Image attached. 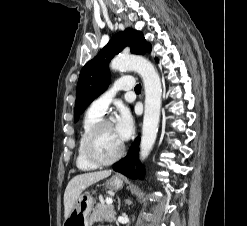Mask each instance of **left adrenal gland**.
Wrapping results in <instances>:
<instances>
[{
  "mask_svg": "<svg viewBox=\"0 0 247 226\" xmlns=\"http://www.w3.org/2000/svg\"><path fill=\"white\" fill-rule=\"evenodd\" d=\"M120 205H121V200H120V198L118 197V210H120Z\"/></svg>",
  "mask_w": 247,
  "mask_h": 226,
  "instance_id": "obj_1",
  "label": "left adrenal gland"
}]
</instances>
